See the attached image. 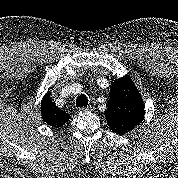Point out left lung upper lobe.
Instances as JSON below:
<instances>
[{
  "label": "left lung upper lobe",
  "mask_w": 178,
  "mask_h": 178,
  "mask_svg": "<svg viewBox=\"0 0 178 178\" xmlns=\"http://www.w3.org/2000/svg\"><path fill=\"white\" fill-rule=\"evenodd\" d=\"M144 102L129 76L112 83L105 117L112 131L128 133L144 119Z\"/></svg>",
  "instance_id": "obj_1"
}]
</instances>
